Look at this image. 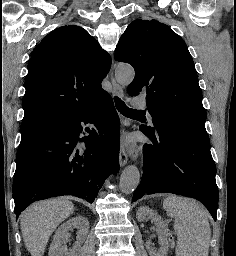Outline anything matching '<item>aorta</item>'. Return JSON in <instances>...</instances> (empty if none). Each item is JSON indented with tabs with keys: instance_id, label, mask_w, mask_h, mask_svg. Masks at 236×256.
I'll return each mask as SVG.
<instances>
[{
	"instance_id": "obj_1",
	"label": "aorta",
	"mask_w": 236,
	"mask_h": 256,
	"mask_svg": "<svg viewBox=\"0 0 236 256\" xmlns=\"http://www.w3.org/2000/svg\"><path fill=\"white\" fill-rule=\"evenodd\" d=\"M134 69L129 65H119L115 72L117 82L128 86L134 79ZM140 182V173L136 166H127L120 176V189L125 194L132 193Z\"/></svg>"
}]
</instances>
